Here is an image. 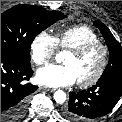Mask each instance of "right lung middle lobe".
<instances>
[{"label": "right lung middle lobe", "instance_id": "dd1d6c3e", "mask_svg": "<svg viewBox=\"0 0 122 122\" xmlns=\"http://www.w3.org/2000/svg\"><path fill=\"white\" fill-rule=\"evenodd\" d=\"M65 17L60 11H47L33 5L12 7L1 14V50L30 63V47L34 38Z\"/></svg>", "mask_w": 122, "mask_h": 122}]
</instances>
